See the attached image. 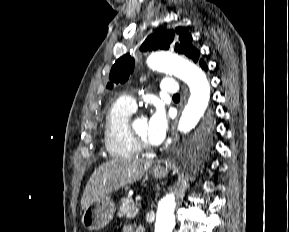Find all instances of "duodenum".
I'll return each mask as SVG.
<instances>
[{"label": "duodenum", "mask_w": 289, "mask_h": 232, "mask_svg": "<svg viewBox=\"0 0 289 232\" xmlns=\"http://www.w3.org/2000/svg\"><path fill=\"white\" fill-rule=\"evenodd\" d=\"M137 232H145L144 229L142 227H139Z\"/></svg>", "instance_id": "410a0bca"}]
</instances>
